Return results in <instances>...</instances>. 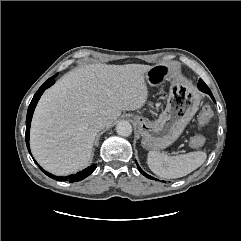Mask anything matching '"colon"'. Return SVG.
I'll list each match as a JSON object with an SVG mask.
<instances>
[{
    "label": "colon",
    "instance_id": "1",
    "mask_svg": "<svg viewBox=\"0 0 241 241\" xmlns=\"http://www.w3.org/2000/svg\"><path fill=\"white\" fill-rule=\"evenodd\" d=\"M213 117V111L210 107L205 106L201 109L198 115V124L200 127H205L208 125ZM205 143V138L201 135L193 137L190 141L192 147H201Z\"/></svg>",
    "mask_w": 241,
    "mask_h": 241
}]
</instances>
